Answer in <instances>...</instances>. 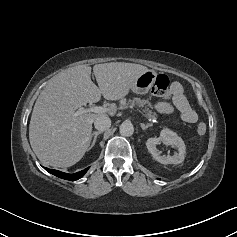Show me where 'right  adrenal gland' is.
I'll return each instance as SVG.
<instances>
[{
	"label": "right adrenal gland",
	"mask_w": 237,
	"mask_h": 237,
	"mask_svg": "<svg viewBox=\"0 0 237 237\" xmlns=\"http://www.w3.org/2000/svg\"><path fill=\"white\" fill-rule=\"evenodd\" d=\"M101 133H103V131H94L91 135H90V139H89V148L88 149H91L95 143H96V140H97V137L98 135H100ZM92 138H93V141H92ZM91 143V144H90Z\"/></svg>",
	"instance_id": "obj_1"
}]
</instances>
